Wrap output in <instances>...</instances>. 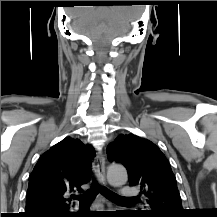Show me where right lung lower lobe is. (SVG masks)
<instances>
[{
    "label": "right lung lower lobe",
    "mask_w": 217,
    "mask_h": 217,
    "mask_svg": "<svg viewBox=\"0 0 217 217\" xmlns=\"http://www.w3.org/2000/svg\"><path fill=\"white\" fill-rule=\"evenodd\" d=\"M76 215H67L65 217H75Z\"/></svg>",
    "instance_id": "1"
}]
</instances>
